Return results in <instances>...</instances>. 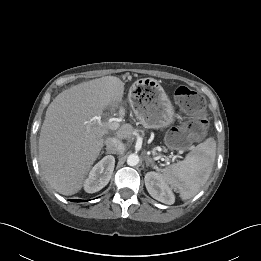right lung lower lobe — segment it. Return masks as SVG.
Here are the masks:
<instances>
[{
	"mask_svg": "<svg viewBox=\"0 0 261 261\" xmlns=\"http://www.w3.org/2000/svg\"><path fill=\"white\" fill-rule=\"evenodd\" d=\"M74 201L78 202V201H81V200H74Z\"/></svg>",
	"mask_w": 261,
	"mask_h": 261,
	"instance_id": "obj_1",
	"label": "right lung lower lobe"
}]
</instances>
